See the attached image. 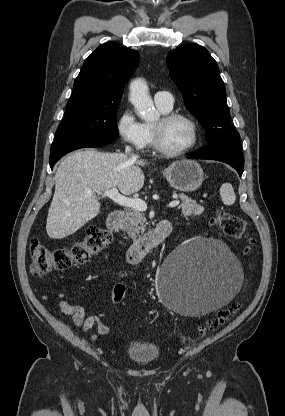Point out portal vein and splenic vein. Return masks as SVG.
Wrapping results in <instances>:
<instances>
[{
  "mask_svg": "<svg viewBox=\"0 0 285 416\" xmlns=\"http://www.w3.org/2000/svg\"><path fill=\"white\" fill-rule=\"evenodd\" d=\"M94 190H86L85 194L91 196ZM104 196L116 202V204H120V206H126V208H135V210H139V212H145L147 210L146 202L143 200H139V198H126V196H121L119 194L117 188H111V190H104ZM179 200H174V202H170L168 204V208H175V206H179Z\"/></svg>",
  "mask_w": 285,
  "mask_h": 416,
  "instance_id": "portal-vein-and-splenic-vein-1",
  "label": "portal vein and splenic vein"
}]
</instances>
